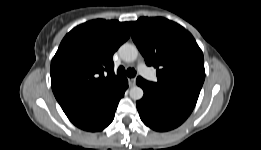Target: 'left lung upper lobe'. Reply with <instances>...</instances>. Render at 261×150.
Instances as JSON below:
<instances>
[{
    "mask_svg": "<svg viewBox=\"0 0 261 150\" xmlns=\"http://www.w3.org/2000/svg\"><path fill=\"white\" fill-rule=\"evenodd\" d=\"M129 24L146 64L157 68L158 81L149 83L198 97L205 70L203 53L193 36L179 24L161 17H141Z\"/></svg>",
    "mask_w": 261,
    "mask_h": 150,
    "instance_id": "left-lung-upper-lobe-1",
    "label": "left lung upper lobe"
}]
</instances>
